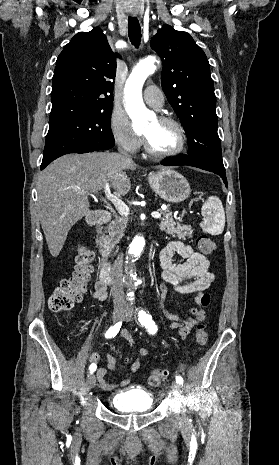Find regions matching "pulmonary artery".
Instances as JSON below:
<instances>
[{"label": "pulmonary artery", "instance_id": "1", "mask_svg": "<svg viewBox=\"0 0 279 465\" xmlns=\"http://www.w3.org/2000/svg\"><path fill=\"white\" fill-rule=\"evenodd\" d=\"M145 102L154 108H161L164 104V96L161 90L156 86H148L144 91Z\"/></svg>", "mask_w": 279, "mask_h": 465}]
</instances>
